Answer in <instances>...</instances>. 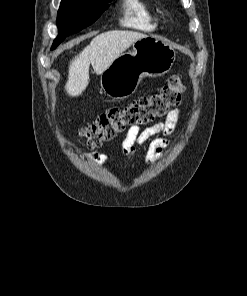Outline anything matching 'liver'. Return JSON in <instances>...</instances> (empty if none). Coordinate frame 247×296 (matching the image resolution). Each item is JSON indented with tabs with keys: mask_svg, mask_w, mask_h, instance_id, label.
<instances>
[{
	"mask_svg": "<svg viewBox=\"0 0 247 296\" xmlns=\"http://www.w3.org/2000/svg\"><path fill=\"white\" fill-rule=\"evenodd\" d=\"M147 35L135 31L115 30L97 35L79 55L70 62L65 90L77 97L89 81V65L97 75L102 74L115 59L136 41Z\"/></svg>",
	"mask_w": 247,
	"mask_h": 296,
	"instance_id": "1",
	"label": "liver"
}]
</instances>
